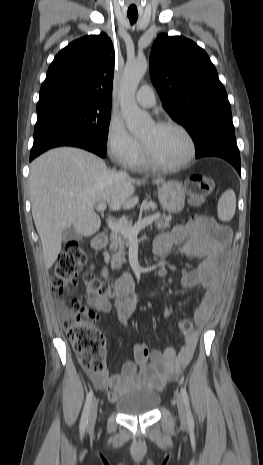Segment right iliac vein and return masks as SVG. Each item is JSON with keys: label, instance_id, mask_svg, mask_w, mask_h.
<instances>
[{"label": "right iliac vein", "instance_id": "63e3f726", "mask_svg": "<svg viewBox=\"0 0 263 465\" xmlns=\"http://www.w3.org/2000/svg\"><path fill=\"white\" fill-rule=\"evenodd\" d=\"M97 409H98V402L96 399H93L90 411H89V418H88V429H92L95 425L96 418H97Z\"/></svg>", "mask_w": 263, "mask_h": 465}]
</instances>
